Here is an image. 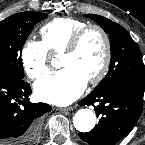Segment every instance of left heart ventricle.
Here are the masks:
<instances>
[{"mask_svg": "<svg viewBox=\"0 0 145 145\" xmlns=\"http://www.w3.org/2000/svg\"><path fill=\"white\" fill-rule=\"evenodd\" d=\"M103 58L102 37L96 31H90L82 39L78 49L71 54L60 56L59 62L61 67H74L89 80L98 73Z\"/></svg>", "mask_w": 145, "mask_h": 145, "instance_id": "left-heart-ventricle-1", "label": "left heart ventricle"}]
</instances>
